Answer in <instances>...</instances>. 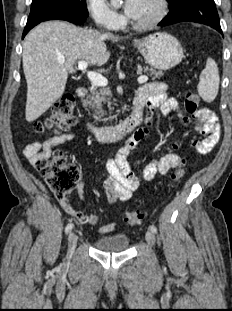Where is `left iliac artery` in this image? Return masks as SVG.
<instances>
[{"instance_id":"obj_1","label":"left iliac artery","mask_w":232,"mask_h":311,"mask_svg":"<svg viewBox=\"0 0 232 311\" xmlns=\"http://www.w3.org/2000/svg\"><path fill=\"white\" fill-rule=\"evenodd\" d=\"M150 230H151L153 233H157V228H156L154 225H151V226H150Z\"/></svg>"}]
</instances>
